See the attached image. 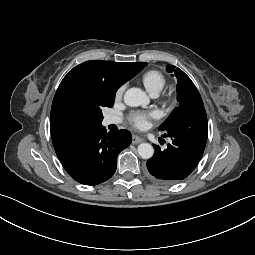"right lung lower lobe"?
<instances>
[{"instance_id":"obj_1","label":"right lung lower lobe","mask_w":255,"mask_h":255,"mask_svg":"<svg viewBox=\"0 0 255 255\" xmlns=\"http://www.w3.org/2000/svg\"><path fill=\"white\" fill-rule=\"evenodd\" d=\"M55 152L66 172L84 185H97L116 171L117 156L132 142L127 130L106 133L104 126L72 127L51 133Z\"/></svg>"}]
</instances>
